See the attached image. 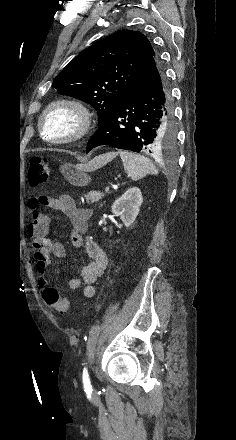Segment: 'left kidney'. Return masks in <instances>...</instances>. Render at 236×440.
<instances>
[{
    "mask_svg": "<svg viewBox=\"0 0 236 440\" xmlns=\"http://www.w3.org/2000/svg\"><path fill=\"white\" fill-rule=\"evenodd\" d=\"M143 197L138 187L129 188L112 205V212L120 216L123 224L129 228L139 214Z\"/></svg>",
    "mask_w": 236,
    "mask_h": 440,
    "instance_id": "1",
    "label": "left kidney"
}]
</instances>
